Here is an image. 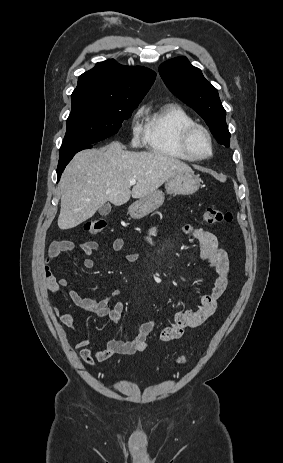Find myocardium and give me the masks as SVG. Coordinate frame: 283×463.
Listing matches in <instances>:
<instances>
[{"label": "myocardium", "instance_id": "f54148a6", "mask_svg": "<svg viewBox=\"0 0 283 463\" xmlns=\"http://www.w3.org/2000/svg\"><path fill=\"white\" fill-rule=\"evenodd\" d=\"M203 133L209 142V153L207 155L198 154L192 145V139L195 133ZM181 146L183 150L195 160H205L210 158L214 152L213 137L211 132L203 125L198 123H193L192 125L185 128L181 134Z\"/></svg>", "mask_w": 283, "mask_h": 463}]
</instances>
